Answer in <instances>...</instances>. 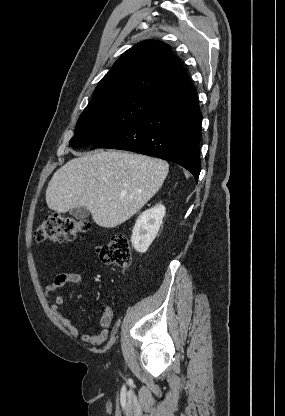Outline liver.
Here are the masks:
<instances>
[{"instance_id": "liver-1", "label": "liver", "mask_w": 285, "mask_h": 416, "mask_svg": "<svg viewBox=\"0 0 285 416\" xmlns=\"http://www.w3.org/2000/svg\"><path fill=\"white\" fill-rule=\"evenodd\" d=\"M168 170L167 162L158 158L95 150L55 172L45 194L47 206L58 214L87 208L95 224L116 228L157 194Z\"/></svg>"}]
</instances>
